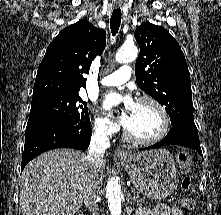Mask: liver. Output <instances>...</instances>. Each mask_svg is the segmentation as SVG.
Instances as JSON below:
<instances>
[{"instance_id":"obj_1","label":"liver","mask_w":221,"mask_h":215,"mask_svg":"<svg viewBox=\"0 0 221 215\" xmlns=\"http://www.w3.org/2000/svg\"><path fill=\"white\" fill-rule=\"evenodd\" d=\"M103 159L99 168L102 179ZM91 177L86 155L54 149L29 162L22 172L19 215H75Z\"/></svg>"}]
</instances>
